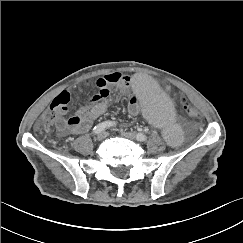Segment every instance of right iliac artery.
I'll return each mask as SVG.
<instances>
[{
	"label": "right iliac artery",
	"instance_id": "right-iliac-artery-1",
	"mask_svg": "<svg viewBox=\"0 0 243 243\" xmlns=\"http://www.w3.org/2000/svg\"><path fill=\"white\" fill-rule=\"evenodd\" d=\"M113 126H116V123L113 122V121H105V122H102V123L96 125L93 128V133L94 134H99L102 131H104L105 129L110 128V127H113Z\"/></svg>",
	"mask_w": 243,
	"mask_h": 243
}]
</instances>
